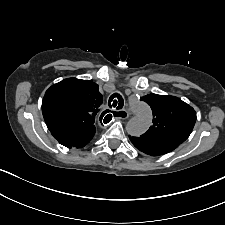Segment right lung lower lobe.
Listing matches in <instances>:
<instances>
[{
	"instance_id": "obj_1",
	"label": "right lung lower lobe",
	"mask_w": 225,
	"mask_h": 225,
	"mask_svg": "<svg viewBox=\"0 0 225 225\" xmlns=\"http://www.w3.org/2000/svg\"><path fill=\"white\" fill-rule=\"evenodd\" d=\"M53 137L67 148H82L88 144L94 134L85 131L76 132L72 129H53L50 130Z\"/></svg>"
}]
</instances>
